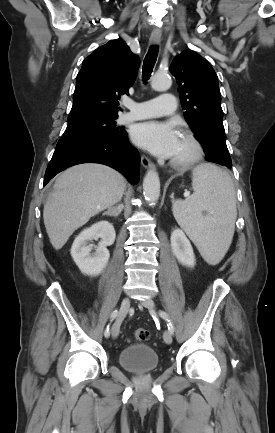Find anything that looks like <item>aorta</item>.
<instances>
[{
	"label": "aorta",
	"instance_id": "1",
	"mask_svg": "<svg viewBox=\"0 0 275 433\" xmlns=\"http://www.w3.org/2000/svg\"><path fill=\"white\" fill-rule=\"evenodd\" d=\"M171 78L167 74L157 73L151 80V86L156 91H164L170 88ZM143 193L148 202H155L160 196V180L154 170L147 172L143 179Z\"/></svg>",
	"mask_w": 275,
	"mask_h": 433
}]
</instances>
